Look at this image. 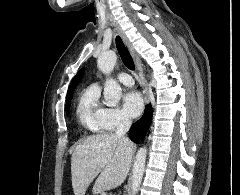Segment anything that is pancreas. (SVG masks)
Returning a JSON list of instances; mask_svg holds the SVG:
<instances>
[{
  "label": "pancreas",
  "instance_id": "1",
  "mask_svg": "<svg viewBox=\"0 0 240 195\" xmlns=\"http://www.w3.org/2000/svg\"><path fill=\"white\" fill-rule=\"evenodd\" d=\"M95 191H100V189H95Z\"/></svg>",
  "mask_w": 240,
  "mask_h": 195
}]
</instances>
